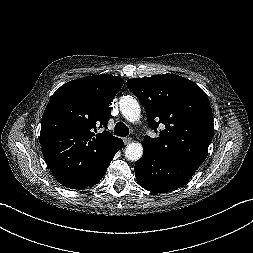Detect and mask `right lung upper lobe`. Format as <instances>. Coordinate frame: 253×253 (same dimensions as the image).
I'll list each match as a JSON object with an SVG mask.
<instances>
[{"instance_id": "cb5924a9", "label": "right lung upper lobe", "mask_w": 253, "mask_h": 253, "mask_svg": "<svg viewBox=\"0 0 253 253\" xmlns=\"http://www.w3.org/2000/svg\"><path fill=\"white\" fill-rule=\"evenodd\" d=\"M123 85L108 74L72 80L50 98L42 116L40 144L54 176L80 173L103 163L121 142L107 127L110 107Z\"/></svg>"}]
</instances>
